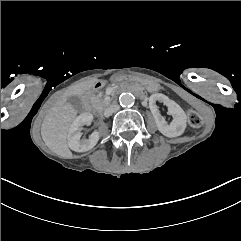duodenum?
Here are the masks:
<instances>
[{
    "label": "duodenum",
    "instance_id": "obj_1",
    "mask_svg": "<svg viewBox=\"0 0 241 241\" xmlns=\"http://www.w3.org/2000/svg\"><path fill=\"white\" fill-rule=\"evenodd\" d=\"M102 83L101 82H96L94 83V85L92 86L91 88V92H94L96 90H98L99 88L102 87ZM133 93L135 95H137L138 97H143L144 96V91L143 89H141L140 87L138 86H126V87H122V88H119L117 91H116V94H121V93ZM95 112L96 113H99V109H95Z\"/></svg>",
    "mask_w": 241,
    "mask_h": 241
}]
</instances>
